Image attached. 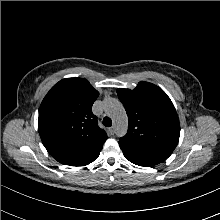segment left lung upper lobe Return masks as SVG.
<instances>
[{"mask_svg": "<svg viewBox=\"0 0 220 220\" xmlns=\"http://www.w3.org/2000/svg\"><path fill=\"white\" fill-rule=\"evenodd\" d=\"M128 115L127 134L120 138L123 152L153 165L165 161L179 141L175 107L158 86L141 81L134 90L117 89Z\"/></svg>", "mask_w": 220, "mask_h": 220, "instance_id": "left-lung-upper-lobe-1", "label": "left lung upper lobe"}]
</instances>
